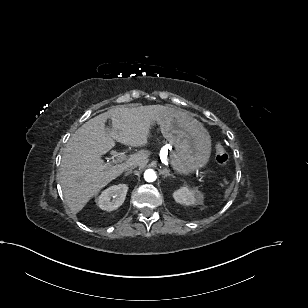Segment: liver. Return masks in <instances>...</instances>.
I'll return each mask as SVG.
<instances>
[{"label":"liver","instance_id":"6515ba94","mask_svg":"<svg viewBox=\"0 0 308 308\" xmlns=\"http://www.w3.org/2000/svg\"><path fill=\"white\" fill-rule=\"evenodd\" d=\"M169 106H116L85 122L70 137L64 148L59 180L65 201L74 213L81 211L100 190L116 179L130 164L145 166L147 152L131 155V160L116 165L104 164L101 156L115 146V141L133 147L148 144L151 125ZM111 118L112 129L105 122Z\"/></svg>","mask_w":308,"mask_h":308}]
</instances>
